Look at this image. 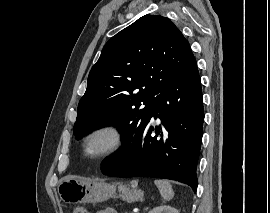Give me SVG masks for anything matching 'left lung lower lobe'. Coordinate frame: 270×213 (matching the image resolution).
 I'll list each match as a JSON object with an SVG mask.
<instances>
[{
	"instance_id": "1",
	"label": "left lung lower lobe",
	"mask_w": 270,
	"mask_h": 213,
	"mask_svg": "<svg viewBox=\"0 0 270 213\" xmlns=\"http://www.w3.org/2000/svg\"><path fill=\"white\" fill-rule=\"evenodd\" d=\"M153 116L159 117L163 128H153L150 123ZM150 119L137 135L123 141L119 152L104 160L102 173L113 177L177 180L196 191L204 121L196 63L178 75L157 97ZM154 130L159 136H151Z\"/></svg>"
}]
</instances>
